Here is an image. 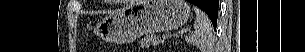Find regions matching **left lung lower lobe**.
Listing matches in <instances>:
<instances>
[{"label": "left lung lower lobe", "instance_id": "left-lung-lower-lobe-1", "mask_svg": "<svg viewBox=\"0 0 305 52\" xmlns=\"http://www.w3.org/2000/svg\"><path fill=\"white\" fill-rule=\"evenodd\" d=\"M194 5L200 7L203 11L208 9H218V0H188ZM206 12V11H205ZM217 23H213L214 28H216Z\"/></svg>", "mask_w": 305, "mask_h": 52}]
</instances>
